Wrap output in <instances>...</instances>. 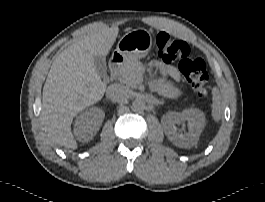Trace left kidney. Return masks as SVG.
<instances>
[{"mask_svg": "<svg viewBox=\"0 0 265 202\" xmlns=\"http://www.w3.org/2000/svg\"><path fill=\"white\" fill-rule=\"evenodd\" d=\"M187 121L188 132L178 130L176 124ZM164 132L167 138L181 148H189L197 144L199 137L205 127L204 113L199 109H186L182 112H168L161 118Z\"/></svg>", "mask_w": 265, "mask_h": 202, "instance_id": "5707ae66", "label": "left kidney"}]
</instances>
